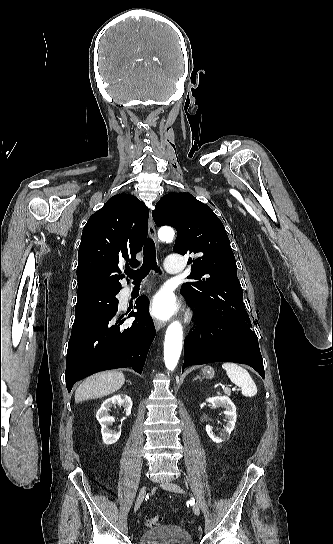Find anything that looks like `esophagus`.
Segmentation results:
<instances>
[{"label":"esophagus","mask_w":333,"mask_h":544,"mask_svg":"<svg viewBox=\"0 0 333 544\" xmlns=\"http://www.w3.org/2000/svg\"><path fill=\"white\" fill-rule=\"evenodd\" d=\"M149 236L156 242V244L158 243L156 228L151 213L149 214ZM154 325L156 330H160L165 326V323L158 319H155Z\"/></svg>","instance_id":"esophagus-1"}]
</instances>
